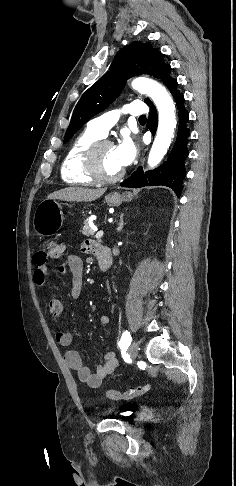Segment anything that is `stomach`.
<instances>
[{
  "label": "stomach",
  "mask_w": 236,
  "mask_h": 486,
  "mask_svg": "<svg viewBox=\"0 0 236 486\" xmlns=\"http://www.w3.org/2000/svg\"><path fill=\"white\" fill-rule=\"evenodd\" d=\"M133 199L131 192H113L105 197L109 206H119L123 202H130ZM62 206L53 199L42 201L36 208L33 217V227L40 236H49L56 233L63 224Z\"/></svg>",
  "instance_id": "1"
}]
</instances>
